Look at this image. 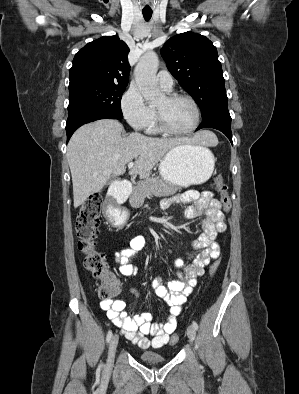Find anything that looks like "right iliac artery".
Segmentation results:
<instances>
[{"instance_id":"obj_1","label":"right iliac artery","mask_w":299,"mask_h":394,"mask_svg":"<svg viewBox=\"0 0 299 394\" xmlns=\"http://www.w3.org/2000/svg\"><path fill=\"white\" fill-rule=\"evenodd\" d=\"M111 337H112V331H108V333H107V337H106V341H107V343H109V342H110V340H111ZM100 366L102 367V366H103V364H101Z\"/></svg>"}]
</instances>
